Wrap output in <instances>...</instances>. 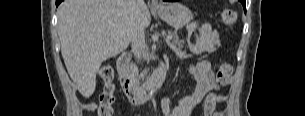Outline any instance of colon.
Here are the masks:
<instances>
[{"label": "colon", "instance_id": "5ec220e1", "mask_svg": "<svg viewBox=\"0 0 305 116\" xmlns=\"http://www.w3.org/2000/svg\"><path fill=\"white\" fill-rule=\"evenodd\" d=\"M221 18L226 26H233L237 20V13L230 8H224L221 11ZM233 68L229 63L220 64L216 79L219 85L228 84L232 75ZM99 76L104 82V88L100 96V104L98 107V116H113L114 96V71L113 68L105 64L99 70Z\"/></svg>", "mask_w": 305, "mask_h": 116}]
</instances>
